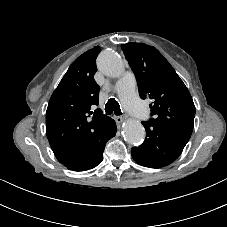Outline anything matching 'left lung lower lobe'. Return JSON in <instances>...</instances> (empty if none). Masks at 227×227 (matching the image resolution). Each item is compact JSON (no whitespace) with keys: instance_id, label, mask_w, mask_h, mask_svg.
I'll list each match as a JSON object with an SVG mask.
<instances>
[{"instance_id":"0a47b994","label":"left lung lower lobe","mask_w":227,"mask_h":227,"mask_svg":"<svg viewBox=\"0 0 227 227\" xmlns=\"http://www.w3.org/2000/svg\"><path fill=\"white\" fill-rule=\"evenodd\" d=\"M146 138L139 147H133L131 154L140 165L161 168L171 164L182 153L189 138L164 127L142 122Z\"/></svg>"}]
</instances>
